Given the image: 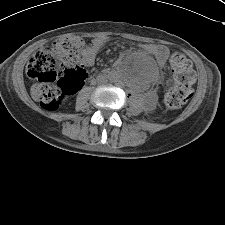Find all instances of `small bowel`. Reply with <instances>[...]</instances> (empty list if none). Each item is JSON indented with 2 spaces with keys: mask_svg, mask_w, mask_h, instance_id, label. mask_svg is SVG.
<instances>
[{
  "mask_svg": "<svg viewBox=\"0 0 225 225\" xmlns=\"http://www.w3.org/2000/svg\"><path fill=\"white\" fill-rule=\"evenodd\" d=\"M108 39L106 37H97L91 44L87 45L81 54V62L85 66H92L95 62L96 56L99 51L107 44ZM144 49L152 54L158 65H163L169 55V50L164 45H145ZM129 53H127L128 55Z\"/></svg>",
  "mask_w": 225,
  "mask_h": 225,
  "instance_id": "small-bowel-1",
  "label": "small bowel"
}]
</instances>
